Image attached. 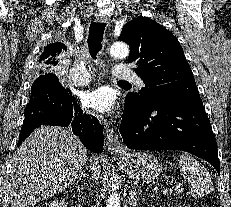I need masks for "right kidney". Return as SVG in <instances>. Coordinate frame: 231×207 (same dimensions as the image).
Here are the masks:
<instances>
[{"label":"right kidney","instance_id":"obj_1","mask_svg":"<svg viewBox=\"0 0 231 207\" xmlns=\"http://www.w3.org/2000/svg\"><path fill=\"white\" fill-rule=\"evenodd\" d=\"M48 207H67V203L63 200H54L48 205Z\"/></svg>","mask_w":231,"mask_h":207}]
</instances>
